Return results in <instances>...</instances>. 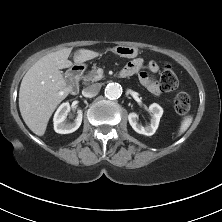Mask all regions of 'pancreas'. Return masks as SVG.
Returning <instances> with one entry per match:
<instances>
[{
	"label": "pancreas",
	"instance_id": "cf45deb5",
	"mask_svg": "<svg viewBox=\"0 0 222 222\" xmlns=\"http://www.w3.org/2000/svg\"><path fill=\"white\" fill-rule=\"evenodd\" d=\"M102 79V76L97 74V68L93 67L86 75L83 76L84 83L97 82Z\"/></svg>",
	"mask_w": 222,
	"mask_h": 222
}]
</instances>
